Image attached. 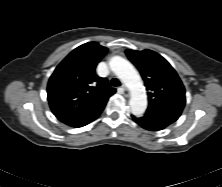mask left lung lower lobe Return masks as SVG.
Masks as SVG:
<instances>
[{"instance_id":"left-lung-lower-lobe-1","label":"left lung lower lobe","mask_w":222,"mask_h":187,"mask_svg":"<svg viewBox=\"0 0 222 187\" xmlns=\"http://www.w3.org/2000/svg\"><path fill=\"white\" fill-rule=\"evenodd\" d=\"M181 113L182 110L174 108H148L144 116L132 118L144 129L158 131L176 121Z\"/></svg>"}]
</instances>
